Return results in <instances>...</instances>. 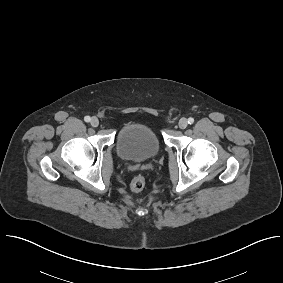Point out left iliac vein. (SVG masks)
I'll list each match as a JSON object with an SVG mask.
<instances>
[{"label": "left iliac vein", "mask_w": 283, "mask_h": 283, "mask_svg": "<svg viewBox=\"0 0 283 283\" xmlns=\"http://www.w3.org/2000/svg\"><path fill=\"white\" fill-rule=\"evenodd\" d=\"M181 129H185L188 126V121L186 118H181L178 123Z\"/></svg>", "instance_id": "4c4485c4"}]
</instances>
